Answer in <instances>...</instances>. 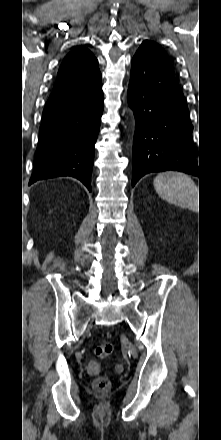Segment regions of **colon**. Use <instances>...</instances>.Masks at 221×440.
Segmentation results:
<instances>
[{
	"mask_svg": "<svg viewBox=\"0 0 221 440\" xmlns=\"http://www.w3.org/2000/svg\"><path fill=\"white\" fill-rule=\"evenodd\" d=\"M112 352L113 346L110 343H102L95 348V354L99 358L108 357ZM94 387L99 391H106L110 388V381L105 377H99L95 380Z\"/></svg>",
	"mask_w": 221,
	"mask_h": 440,
	"instance_id": "colon-1",
	"label": "colon"
}]
</instances>
